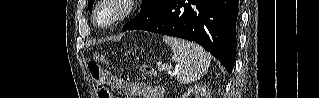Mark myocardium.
<instances>
[{
  "mask_svg": "<svg viewBox=\"0 0 319 98\" xmlns=\"http://www.w3.org/2000/svg\"><path fill=\"white\" fill-rule=\"evenodd\" d=\"M138 1H134V0H103V1H99L97 2V4L95 5L94 9H93V21L94 23L102 28H109L112 27L120 22H122L123 20H125L126 18H128L133 11L135 10V3H137ZM106 6H114L117 8V14L110 19L107 22H100L98 19V14L100 12V10Z\"/></svg>",
  "mask_w": 319,
  "mask_h": 98,
  "instance_id": "myocardium-1",
  "label": "myocardium"
}]
</instances>
